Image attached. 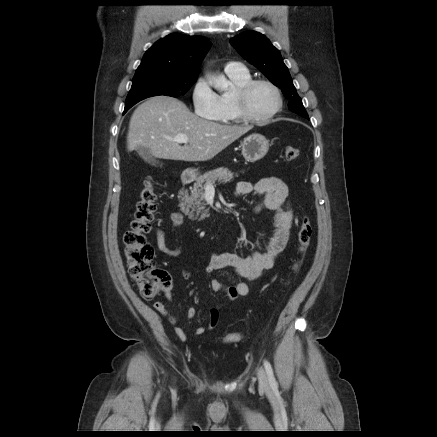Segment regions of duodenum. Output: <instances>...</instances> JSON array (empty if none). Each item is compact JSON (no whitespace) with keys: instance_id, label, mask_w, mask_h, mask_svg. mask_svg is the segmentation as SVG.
Returning a JSON list of instances; mask_svg holds the SVG:
<instances>
[{"instance_id":"duodenum-1","label":"duodenum","mask_w":437,"mask_h":437,"mask_svg":"<svg viewBox=\"0 0 437 437\" xmlns=\"http://www.w3.org/2000/svg\"><path fill=\"white\" fill-rule=\"evenodd\" d=\"M194 177H195V175H194V172L193 171H190V170H188V171H185V172H183V174H182V176H181V182H182V184H188V183H190L191 181H193V179H194Z\"/></svg>"}]
</instances>
